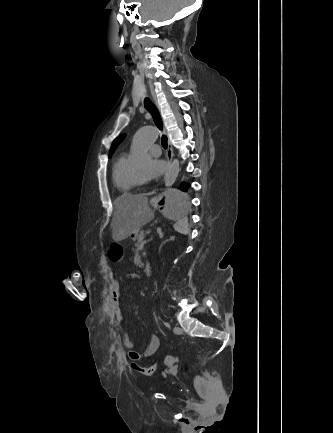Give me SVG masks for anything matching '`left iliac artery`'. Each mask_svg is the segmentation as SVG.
Returning a JSON list of instances; mask_svg holds the SVG:
<instances>
[{"mask_svg":"<svg viewBox=\"0 0 333 433\" xmlns=\"http://www.w3.org/2000/svg\"><path fill=\"white\" fill-rule=\"evenodd\" d=\"M164 325L170 329V324L168 322H165Z\"/></svg>","mask_w":333,"mask_h":433,"instance_id":"left-iliac-artery-1","label":"left iliac artery"}]
</instances>
